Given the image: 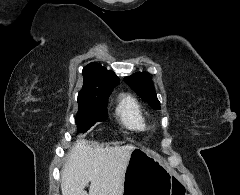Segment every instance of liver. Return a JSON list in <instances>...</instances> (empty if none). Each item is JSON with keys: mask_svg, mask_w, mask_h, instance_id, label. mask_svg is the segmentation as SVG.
Instances as JSON below:
<instances>
[{"mask_svg": "<svg viewBox=\"0 0 240 195\" xmlns=\"http://www.w3.org/2000/svg\"><path fill=\"white\" fill-rule=\"evenodd\" d=\"M79 135L61 171L62 195H123V183L134 145L92 147ZM89 193L84 187L88 185Z\"/></svg>", "mask_w": 240, "mask_h": 195, "instance_id": "obj_1", "label": "liver"}]
</instances>
